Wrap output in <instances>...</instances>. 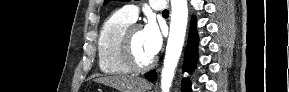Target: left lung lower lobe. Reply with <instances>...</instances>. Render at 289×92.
Segmentation results:
<instances>
[{"mask_svg":"<svg viewBox=\"0 0 289 92\" xmlns=\"http://www.w3.org/2000/svg\"><path fill=\"white\" fill-rule=\"evenodd\" d=\"M198 36L196 31V19L193 18L191 22V27L189 31L188 45L185 51V60L183 65L184 72H192L196 66L197 62V46H198ZM148 80L155 81L156 73L154 70L145 74ZM191 85L189 80L183 79L182 81V92H190Z\"/></svg>","mask_w":289,"mask_h":92,"instance_id":"obj_1","label":"left lung lower lobe"}]
</instances>
